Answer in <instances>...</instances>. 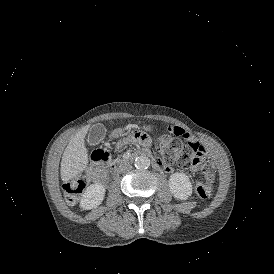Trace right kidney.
<instances>
[{"label": "right kidney", "mask_w": 274, "mask_h": 274, "mask_svg": "<svg viewBox=\"0 0 274 274\" xmlns=\"http://www.w3.org/2000/svg\"><path fill=\"white\" fill-rule=\"evenodd\" d=\"M105 188L100 184H93L86 188L80 206L83 209H93L98 206L104 197Z\"/></svg>", "instance_id": "right-kidney-1"}]
</instances>
